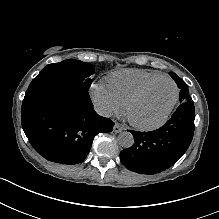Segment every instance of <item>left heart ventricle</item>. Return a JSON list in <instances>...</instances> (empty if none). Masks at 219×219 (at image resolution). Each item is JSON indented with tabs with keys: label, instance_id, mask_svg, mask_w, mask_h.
<instances>
[{
	"label": "left heart ventricle",
	"instance_id": "obj_1",
	"mask_svg": "<svg viewBox=\"0 0 219 219\" xmlns=\"http://www.w3.org/2000/svg\"><path fill=\"white\" fill-rule=\"evenodd\" d=\"M171 82L160 81L137 102L131 110L132 117L139 122L150 123L158 120L174 97Z\"/></svg>",
	"mask_w": 219,
	"mask_h": 219
}]
</instances>
